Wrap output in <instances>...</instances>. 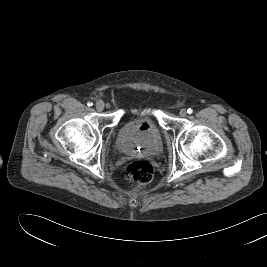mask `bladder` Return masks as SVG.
<instances>
[{
    "label": "bladder",
    "instance_id": "obj_1",
    "mask_svg": "<svg viewBox=\"0 0 267 267\" xmlns=\"http://www.w3.org/2000/svg\"><path fill=\"white\" fill-rule=\"evenodd\" d=\"M143 121L148 122V130H141L135 118H127L119 127L116 147L125 155H142L145 157H157L163 151V138L161 132L151 115H146Z\"/></svg>",
    "mask_w": 267,
    "mask_h": 267
}]
</instances>
